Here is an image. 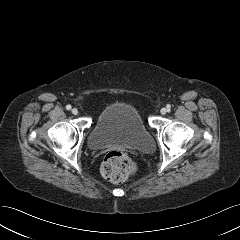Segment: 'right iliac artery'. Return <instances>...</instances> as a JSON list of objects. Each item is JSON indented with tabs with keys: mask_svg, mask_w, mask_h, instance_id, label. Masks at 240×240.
Returning <instances> with one entry per match:
<instances>
[{
	"mask_svg": "<svg viewBox=\"0 0 240 240\" xmlns=\"http://www.w3.org/2000/svg\"><path fill=\"white\" fill-rule=\"evenodd\" d=\"M71 108H72L71 105H67V106H66V109H67V110H70Z\"/></svg>",
	"mask_w": 240,
	"mask_h": 240,
	"instance_id": "82829eb1",
	"label": "right iliac artery"
}]
</instances>
